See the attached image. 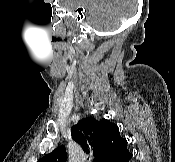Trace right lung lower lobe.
Masks as SVG:
<instances>
[{"label":"right lung lower lobe","mask_w":175,"mask_h":162,"mask_svg":"<svg viewBox=\"0 0 175 162\" xmlns=\"http://www.w3.org/2000/svg\"><path fill=\"white\" fill-rule=\"evenodd\" d=\"M132 158V154L126 148L122 153H120L116 158H114L111 162H129Z\"/></svg>","instance_id":"1"}]
</instances>
